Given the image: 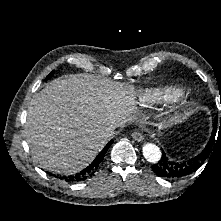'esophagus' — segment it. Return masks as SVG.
I'll return each instance as SVG.
<instances>
[{
	"mask_svg": "<svg viewBox=\"0 0 221 221\" xmlns=\"http://www.w3.org/2000/svg\"><path fill=\"white\" fill-rule=\"evenodd\" d=\"M132 138L135 140V141H138V142H142L144 140V136L141 132L139 131H135L132 133Z\"/></svg>",
	"mask_w": 221,
	"mask_h": 221,
	"instance_id": "34e87169",
	"label": "esophagus"
}]
</instances>
